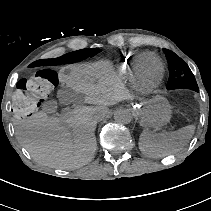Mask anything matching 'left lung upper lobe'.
Listing matches in <instances>:
<instances>
[{
  "mask_svg": "<svg viewBox=\"0 0 211 211\" xmlns=\"http://www.w3.org/2000/svg\"><path fill=\"white\" fill-rule=\"evenodd\" d=\"M163 51L166 55L170 72L167 89L186 88L198 92V85L188 65L174 52L168 49H163Z\"/></svg>",
  "mask_w": 211,
  "mask_h": 211,
  "instance_id": "obj_1",
  "label": "left lung upper lobe"
}]
</instances>
